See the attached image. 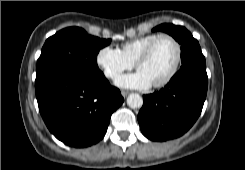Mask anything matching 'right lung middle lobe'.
<instances>
[{
	"mask_svg": "<svg viewBox=\"0 0 245 170\" xmlns=\"http://www.w3.org/2000/svg\"><path fill=\"white\" fill-rule=\"evenodd\" d=\"M88 35L84 29L69 27L48 38L37 61L35 87L65 72H96V56L110 43Z\"/></svg>",
	"mask_w": 245,
	"mask_h": 170,
	"instance_id": "dd1d6c3e",
	"label": "right lung middle lobe"
}]
</instances>
